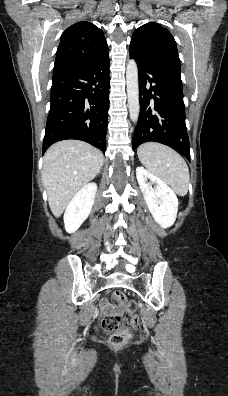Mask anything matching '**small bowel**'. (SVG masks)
I'll return each mask as SVG.
<instances>
[{"label":"small bowel","instance_id":"1","mask_svg":"<svg viewBox=\"0 0 228 396\" xmlns=\"http://www.w3.org/2000/svg\"><path fill=\"white\" fill-rule=\"evenodd\" d=\"M101 309L104 314H110L114 312H120V308H114L108 301L104 300L101 302Z\"/></svg>","mask_w":228,"mask_h":396}]
</instances>
